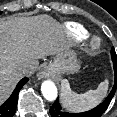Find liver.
I'll return each instance as SVG.
<instances>
[{
  "mask_svg": "<svg viewBox=\"0 0 117 117\" xmlns=\"http://www.w3.org/2000/svg\"><path fill=\"white\" fill-rule=\"evenodd\" d=\"M69 48L61 25L48 15L0 20V104L24 76L21 67L37 69L45 56Z\"/></svg>",
  "mask_w": 117,
  "mask_h": 117,
  "instance_id": "liver-1",
  "label": "liver"
}]
</instances>
